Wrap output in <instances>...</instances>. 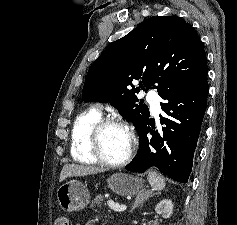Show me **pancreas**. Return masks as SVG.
I'll use <instances>...</instances> for the list:
<instances>
[{"mask_svg": "<svg viewBox=\"0 0 237 225\" xmlns=\"http://www.w3.org/2000/svg\"><path fill=\"white\" fill-rule=\"evenodd\" d=\"M103 201H104V197L101 195H97L92 201L91 207L95 210L96 207H101Z\"/></svg>", "mask_w": 237, "mask_h": 225, "instance_id": "1", "label": "pancreas"}]
</instances>
